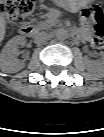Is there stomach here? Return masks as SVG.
<instances>
[{
    "label": "stomach",
    "instance_id": "stomach-1",
    "mask_svg": "<svg viewBox=\"0 0 104 137\" xmlns=\"http://www.w3.org/2000/svg\"><path fill=\"white\" fill-rule=\"evenodd\" d=\"M58 2H61L62 6L66 8H74L80 6L82 3L80 0H57Z\"/></svg>",
    "mask_w": 104,
    "mask_h": 137
}]
</instances>
